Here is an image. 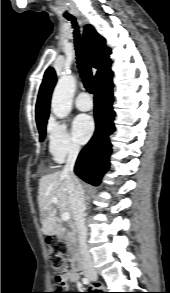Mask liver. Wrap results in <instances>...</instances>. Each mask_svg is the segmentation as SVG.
I'll return each mask as SVG.
<instances>
[{
    "label": "liver",
    "instance_id": "liver-1",
    "mask_svg": "<svg viewBox=\"0 0 170 293\" xmlns=\"http://www.w3.org/2000/svg\"><path fill=\"white\" fill-rule=\"evenodd\" d=\"M52 198L58 199L57 208L53 207ZM38 204L42 231L45 235H49L57 227V209L63 213L73 214L70 194L62 172L45 175L39 180Z\"/></svg>",
    "mask_w": 170,
    "mask_h": 293
}]
</instances>
